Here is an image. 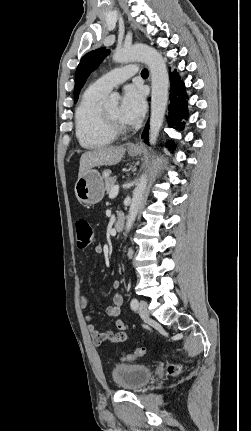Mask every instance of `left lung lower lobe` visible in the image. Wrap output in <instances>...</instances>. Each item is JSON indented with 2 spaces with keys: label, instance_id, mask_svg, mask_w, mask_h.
Wrapping results in <instances>:
<instances>
[{
  "label": "left lung lower lobe",
  "instance_id": "obj_1",
  "mask_svg": "<svg viewBox=\"0 0 251 431\" xmlns=\"http://www.w3.org/2000/svg\"><path fill=\"white\" fill-rule=\"evenodd\" d=\"M187 95L185 92L184 83L180 80V77L176 71L170 72V105H169V116L168 121L170 127L175 129L183 128L184 122L181 120L186 119L188 116L187 111ZM148 128L149 125H146L145 130L143 131L142 138L145 139L144 142L148 144ZM169 149H174L173 143L168 144Z\"/></svg>",
  "mask_w": 251,
  "mask_h": 431
}]
</instances>
